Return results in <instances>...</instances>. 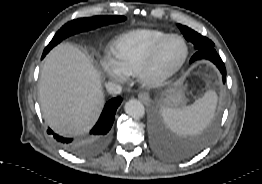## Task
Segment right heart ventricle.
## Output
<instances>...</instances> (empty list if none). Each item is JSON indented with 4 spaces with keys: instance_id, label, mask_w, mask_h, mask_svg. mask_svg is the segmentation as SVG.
<instances>
[{
    "instance_id": "right-heart-ventricle-1",
    "label": "right heart ventricle",
    "mask_w": 262,
    "mask_h": 184,
    "mask_svg": "<svg viewBox=\"0 0 262 184\" xmlns=\"http://www.w3.org/2000/svg\"><path fill=\"white\" fill-rule=\"evenodd\" d=\"M168 35L151 29H137L122 34L112 47L115 62L126 74H135L153 48Z\"/></svg>"
}]
</instances>
